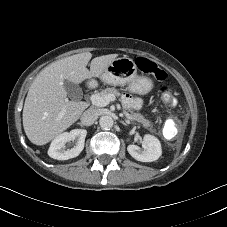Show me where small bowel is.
Returning <instances> with one entry per match:
<instances>
[{"label": "small bowel", "instance_id": "c3829d8e", "mask_svg": "<svg viewBox=\"0 0 227 227\" xmlns=\"http://www.w3.org/2000/svg\"><path fill=\"white\" fill-rule=\"evenodd\" d=\"M124 102L130 107H136L138 104V101L135 98L129 96L124 97Z\"/></svg>", "mask_w": 227, "mask_h": 227}]
</instances>
